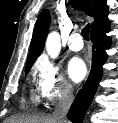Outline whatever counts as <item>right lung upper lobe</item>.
<instances>
[{"mask_svg": "<svg viewBox=\"0 0 118 123\" xmlns=\"http://www.w3.org/2000/svg\"><path fill=\"white\" fill-rule=\"evenodd\" d=\"M77 9L84 11L88 16L94 18L91 24V36L105 31L110 27L108 21V6L105 0H70ZM50 15L47 9L43 10L36 21L31 48L29 51L26 69H30L35 60L40 56L48 34Z\"/></svg>", "mask_w": 118, "mask_h": 123, "instance_id": "cb5924a9", "label": "right lung upper lobe"}]
</instances>
